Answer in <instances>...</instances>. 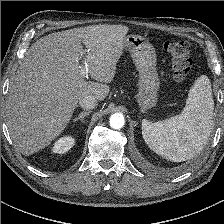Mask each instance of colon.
I'll return each mask as SVG.
<instances>
[{"mask_svg": "<svg viewBox=\"0 0 224 224\" xmlns=\"http://www.w3.org/2000/svg\"><path fill=\"white\" fill-rule=\"evenodd\" d=\"M163 48L170 56L173 78L183 82L192 68L189 44L185 41H166Z\"/></svg>", "mask_w": 224, "mask_h": 224, "instance_id": "obj_1", "label": "colon"}]
</instances>
